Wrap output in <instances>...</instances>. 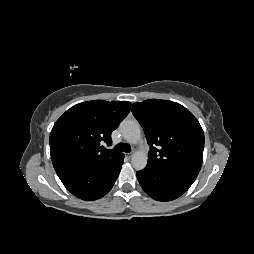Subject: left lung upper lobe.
I'll use <instances>...</instances> for the list:
<instances>
[{
	"label": "left lung upper lobe",
	"instance_id": "obj_1",
	"mask_svg": "<svg viewBox=\"0 0 254 254\" xmlns=\"http://www.w3.org/2000/svg\"><path fill=\"white\" fill-rule=\"evenodd\" d=\"M132 113L144 128L150 145L149 163L198 175L204 150V133L184 106L167 100L134 103Z\"/></svg>",
	"mask_w": 254,
	"mask_h": 254
}]
</instances>
